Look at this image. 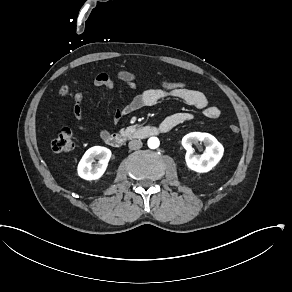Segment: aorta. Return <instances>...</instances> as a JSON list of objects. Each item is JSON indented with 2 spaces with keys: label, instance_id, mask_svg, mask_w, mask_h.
<instances>
[{
  "label": "aorta",
  "instance_id": "762f6f07",
  "mask_svg": "<svg viewBox=\"0 0 292 292\" xmlns=\"http://www.w3.org/2000/svg\"><path fill=\"white\" fill-rule=\"evenodd\" d=\"M159 139L156 138V137H151L149 140H148V147L150 149H156L159 147Z\"/></svg>",
  "mask_w": 292,
  "mask_h": 292
}]
</instances>
